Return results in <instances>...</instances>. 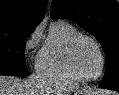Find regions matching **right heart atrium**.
<instances>
[{
  "mask_svg": "<svg viewBox=\"0 0 119 95\" xmlns=\"http://www.w3.org/2000/svg\"><path fill=\"white\" fill-rule=\"evenodd\" d=\"M41 38V28L36 27L24 41V53L30 54L39 44Z\"/></svg>",
  "mask_w": 119,
  "mask_h": 95,
  "instance_id": "obj_1",
  "label": "right heart atrium"
}]
</instances>
